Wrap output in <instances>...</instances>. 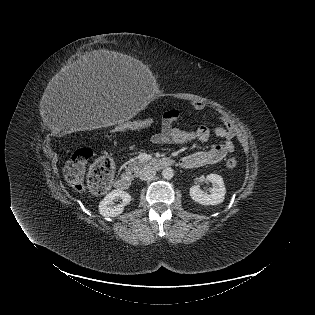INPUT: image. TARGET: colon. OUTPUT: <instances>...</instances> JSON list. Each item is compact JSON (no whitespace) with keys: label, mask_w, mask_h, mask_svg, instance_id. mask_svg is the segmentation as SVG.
Segmentation results:
<instances>
[{"label":"colon","mask_w":315,"mask_h":315,"mask_svg":"<svg viewBox=\"0 0 315 315\" xmlns=\"http://www.w3.org/2000/svg\"><path fill=\"white\" fill-rule=\"evenodd\" d=\"M151 120H143L138 123L130 122L120 128V131H131L150 124ZM91 149L82 147L74 151L64 169V176L72 188L83 191L88 187L95 193H103L110 185L113 178V164L107 157L98 158L90 168L85 181V169L92 158ZM237 160L231 158L226 162L228 168L237 166Z\"/></svg>","instance_id":"5ec220e1"}]
</instances>
